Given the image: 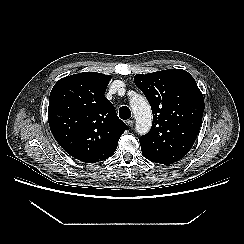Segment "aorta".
<instances>
[{"label": "aorta", "mask_w": 244, "mask_h": 244, "mask_svg": "<svg viewBox=\"0 0 244 244\" xmlns=\"http://www.w3.org/2000/svg\"><path fill=\"white\" fill-rule=\"evenodd\" d=\"M138 134H146L152 125V112L149 103L141 95H134L130 100Z\"/></svg>", "instance_id": "1"}]
</instances>
